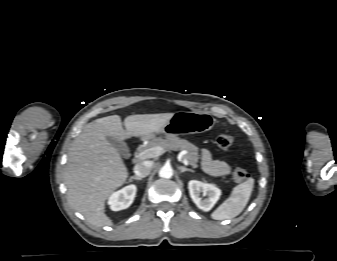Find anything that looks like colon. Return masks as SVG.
Returning a JSON list of instances; mask_svg holds the SVG:
<instances>
[{
    "label": "colon",
    "instance_id": "obj_1",
    "mask_svg": "<svg viewBox=\"0 0 337 261\" xmlns=\"http://www.w3.org/2000/svg\"><path fill=\"white\" fill-rule=\"evenodd\" d=\"M216 144L219 149L226 151L231 148L233 144V138L230 135L222 134L216 139ZM232 177L237 182H243L249 178V173L241 168H236L232 172Z\"/></svg>",
    "mask_w": 337,
    "mask_h": 261
}]
</instances>
